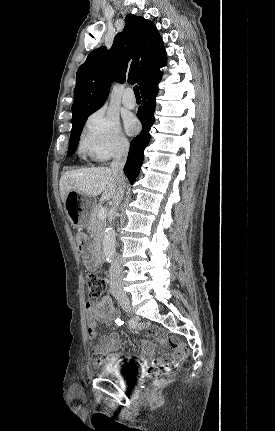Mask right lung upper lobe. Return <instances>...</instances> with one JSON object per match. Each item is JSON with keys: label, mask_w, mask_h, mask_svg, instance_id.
Segmentation results:
<instances>
[{"label": "right lung upper lobe", "mask_w": 275, "mask_h": 431, "mask_svg": "<svg viewBox=\"0 0 275 431\" xmlns=\"http://www.w3.org/2000/svg\"><path fill=\"white\" fill-rule=\"evenodd\" d=\"M163 41L152 21L128 14L122 33L111 49L92 51L77 71L72 124L98 110L107 99L110 83H138L141 93L161 79L158 68L166 65Z\"/></svg>", "instance_id": "obj_1"}]
</instances>
